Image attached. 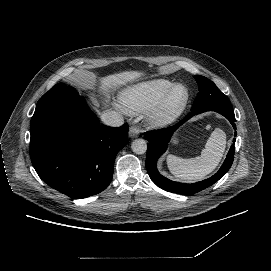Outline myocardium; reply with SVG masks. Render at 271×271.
<instances>
[{"instance_id":"myocardium-1","label":"myocardium","mask_w":271,"mask_h":271,"mask_svg":"<svg viewBox=\"0 0 271 271\" xmlns=\"http://www.w3.org/2000/svg\"><path fill=\"white\" fill-rule=\"evenodd\" d=\"M179 88H184L186 94L184 98L175 102V94ZM191 99V90L185 83H175L163 100L155 106L149 114L148 122L154 127H164L172 123L177 117H179L188 106Z\"/></svg>"}]
</instances>
